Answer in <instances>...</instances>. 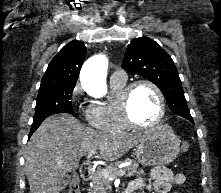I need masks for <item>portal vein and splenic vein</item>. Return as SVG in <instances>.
I'll use <instances>...</instances> for the list:
<instances>
[{
    "label": "portal vein and splenic vein",
    "instance_id": "obj_1",
    "mask_svg": "<svg viewBox=\"0 0 221 193\" xmlns=\"http://www.w3.org/2000/svg\"><path fill=\"white\" fill-rule=\"evenodd\" d=\"M96 153V149L93 148L88 152L87 158H91L94 154ZM103 175L108 178L109 180H114L116 176H123L126 173L125 169H121L119 170L116 174H113L107 170H103L102 171Z\"/></svg>",
    "mask_w": 221,
    "mask_h": 193
}]
</instances>
